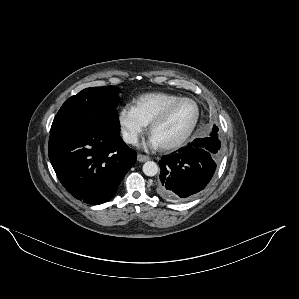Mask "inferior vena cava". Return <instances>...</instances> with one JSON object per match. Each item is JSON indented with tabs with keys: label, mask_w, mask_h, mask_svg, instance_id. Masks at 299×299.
Instances as JSON below:
<instances>
[{
	"label": "inferior vena cava",
	"mask_w": 299,
	"mask_h": 299,
	"mask_svg": "<svg viewBox=\"0 0 299 299\" xmlns=\"http://www.w3.org/2000/svg\"><path fill=\"white\" fill-rule=\"evenodd\" d=\"M123 140L129 144H136L138 141L137 135L130 132H123Z\"/></svg>",
	"instance_id": "602c4592"
}]
</instances>
